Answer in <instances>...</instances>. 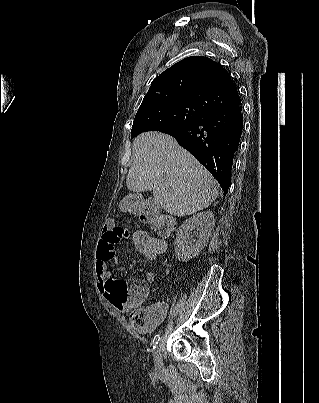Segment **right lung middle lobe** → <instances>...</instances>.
I'll return each instance as SVG.
<instances>
[{
    "label": "right lung middle lobe",
    "mask_w": 319,
    "mask_h": 403,
    "mask_svg": "<svg viewBox=\"0 0 319 403\" xmlns=\"http://www.w3.org/2000/svg\"><path fill=\"white\" fill-rule=\"evenodd\" d=\"M209 111L191 103H160L139 110L135 116L131 138L146 131L191 124L203 118Z\"/></svg>",
    "instance_id": "right-lung-middle-lobe-1"
}]
</instances>
